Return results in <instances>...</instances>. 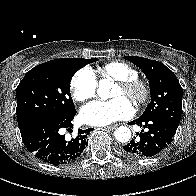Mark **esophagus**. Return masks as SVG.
<instances>
[{"instance_id": "1", "label": "esophagus", "mask_w": 196, "mask_h": 196, "mask_svg": "<svg viewBox=\"0 0 196 196\" xmlns=\"http://www.w3.org/2000/svg\"><path fill=\"white\" fill-rule=\"evenodd\" d=\"M116 127H117L116 125H113V126H107V127H105V129L113 130V129H115Z\"/></svg>"}]
</instances>
